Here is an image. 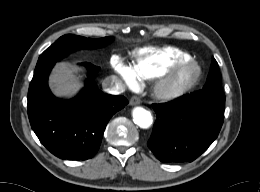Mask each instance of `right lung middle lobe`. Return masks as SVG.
I'll return each instance as SVG.
<instances>
[{"label": "right lung middle lobe", "mask_w": 260, "mask_h": 192, "mask_svg": "<svg viewBox=\"0 0 260 192\" xmlns=\"http://www.w3.org/2000/svg\"><path fill=\"white\" fill-rule=\"evenodd\" d=\"M111 40L112 37L90 39L73 34L61 36L54 44H52L40 55L35 70L48 63L59 61L77 49L100 48L110 43Z\"/></svg>", "instance_id": "obj_1"}]
</instances>
